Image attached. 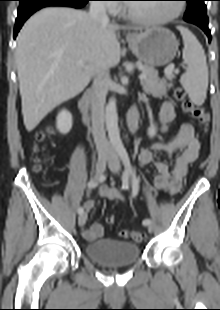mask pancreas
Masks as SVG:
<instances>
[{"label":"pancreas","instance_id":"obj_1","mask_svg":"<svg viewBox=\"0 0 220 310\" xmlns=\"http://www.w3.org/2000/svg\"><path fill=\"white\" fill-rule=\"evenodd\" d=\"M144 73L147 75L146 79L141 81V85L146 94L153 97L161 98L167 94V91L173 86L172 81L175 78L173 72H165V78L158 77V71L150 66H145Z\"/></svg>","mask_w":220,"mask_h":310}]
</instances>
